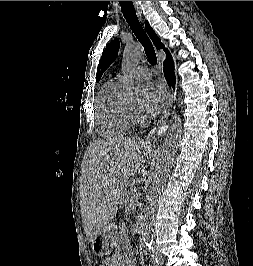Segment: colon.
I'll return each instance as SVG.
<instances>
[{
    "label": "colon",
    "mask_w": 253,
    "mask_h": 266,
    "mask_svg": "<svg viewBox=\"0 0 253 266\" xmlns=\"http://www.w3.org/2000/svg\"><path fill=\"white\" fill-rule=\"evenodd\" d=\"M100 266H105V262L103 264H101Z\"/></svg>",
    "instance_id": "colon-1"
}]
</instances>
